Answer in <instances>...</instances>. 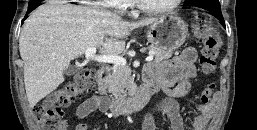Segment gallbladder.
Masks as SVG:
<instances>
[{"label":"gallbladder","instance_id":"gallbladder-1","mask_svg":"<svg viewBox=\"0 0 257 130\" xmlns=\"http://www.w3.org/2000/svg\"><path fill=\"white\" fill-rule=\"evenodd\" d=\"M77 71V68L75 66H69L65 69L64 73L67 75V76H70V75H73L75 74Z\"/></svg>","mask_w":257,"mask_h":130}]
</instances>
